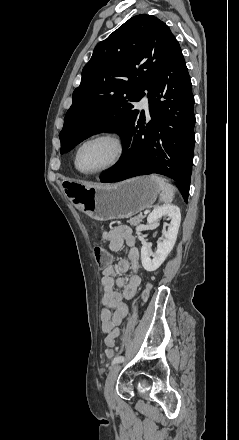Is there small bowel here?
<instances>
[{
  "label": "small bowel",
  "mask_w": 239,
  "mask_h": 440,
  "mask_svg": "<svg viewBox=\"0 0 239 440\" xmlns=\"http://www.w3.org/2000/svg\"><path fill=\"white\" fill-rule=\"evenodd\" d=\"M104 238L109 242L111 251H118L124 245L128 247L127 258L117 264H109L103 269L101 284L104 289L102 298L103 309L100 314L101 330L105 334V344L114 347L119 336V326L128 314L125 300L132 299L141 284L139 270V250L135 237L129 226L119 225L110 231L104 232ZM131 271L130 277L125 280L119 274ZM121 288L122 292L115 290Z\"/></svg>",
  "instance_id": "1"
}]
</instances>
